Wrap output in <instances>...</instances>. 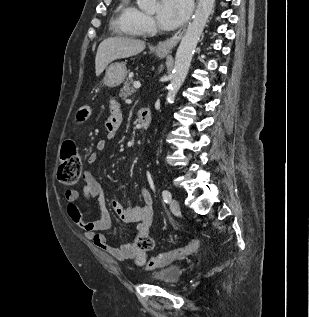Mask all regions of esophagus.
<instances>
[{
    "instance_id": "1",
    "label": "esophagus",
    "mask_w": 309,
    "mask_h": 317,
    "mask_svg": "<svg viewBox=\"0 0 309 317\" xmlns=\"http://www.w3.org/2000/svg\"><path fill=\"white\" fill-rule=\"evenodd\" d=\"M186 25L180 28L173 36L166 39L163 42H159L156 46V50L158 52L162 53H168L170 52L180 41L184 31H185Z\"/></svg>"
}]
</instances>
